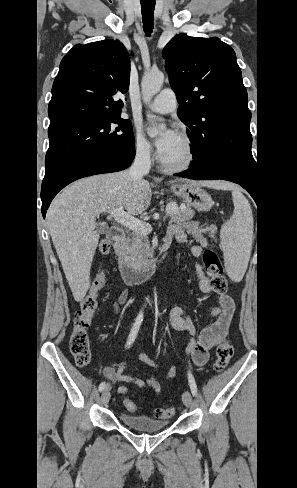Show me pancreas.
Wrapping results in <instances>:
<instances>
[{
	"instance_id": "pancreas-1",
	"label": "pancreas",
	"mask_w": 297,
	"mask_h": 488,
	"mask_svg": "<svg viewBox=\"0 0 297 488\" xmlns=\"http://www.w3.org/2000/svg\"><path fill=\"white\" fill-rule=\"evenodd\" d=\"M176 209L170 212L171 222H175L186 228H190L192 225H198V222H190L194 216L195 211L189 206L179 207L174 204ZM208 229L200 230L205 232ZM121 256L130 266L138 268L145 264L147 259L152 255L149 240L146 234L133 233L128 237L121 245Z\"/></svg>"
}]
</instances>
